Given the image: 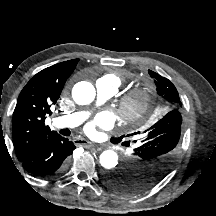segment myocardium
Returning <instances> with one entry per match:
<instances>
[{
    "mask_svg": "<svg viewBox=\"0 0 216 216\" xmlns=\"http://www.w3.org/2000/svg\"><path fill=\"white\" fill-rule=\"evenodd\" d=\"M152 96L146 86H138L127 92L120 100V112L127 122H139L148 113Z\"/></svg>",
    "mask_w": 216,
    "mask_h": 216,
    "instance_id": "myocardium-1",
    "label": "myocardium"
}]
</instances>
